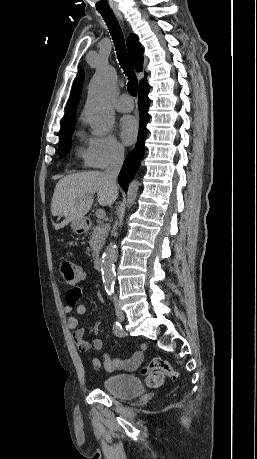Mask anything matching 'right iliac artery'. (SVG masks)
<instances>
[{"instance_id": "1", "label": "right iliac artery", "mask_w": 257, "mask_h": 459, "mask_svg": "<svg viewBox=\"0 0 257 459\" xmlns=\"http://www.w3.org/2000/svg\"><path fill=\"white\" fill-rule=\"evenodd\" d=\"M113 333L117 337H123L125 334L124 329L122 328V325L117 321L113 325Z\"/></svg>"}]
</instances>
